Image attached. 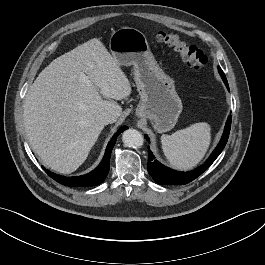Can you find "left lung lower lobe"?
<instances>
[{"instance_id":"0a47b994","label":"left lung lower lobe","mask_w":265,"mask_h":265,"mask_svg":"<svg viewBox=\"0 0 265 265\" xmlns=\"http://www.w3.org/2000/svg\"><path fill=\"white\" fill-rule=\"evenodd\" d=\"M219 73L226 84V87L229 89L227 79L225 77V74L223 73L222 69L218 67ZM231 128V116L228 117L224 132L222 135V138L220 142L218 143L215 150L212 152L210 157L207 159V161L201 165L200 167L196 168L195 170H192L190 172H178L175 170H172L164 165H162L160 162H158L155 157L153 156L152 152L148 151V163H147V170L151 177L161 185H176V184H187L197 178L199 175H201L205 170L211 166V164L215 161V159L220 155L222 150L224 149L229 133ZM147 140L148 137L145 136Z\"/></svg>"}]
</instances>
